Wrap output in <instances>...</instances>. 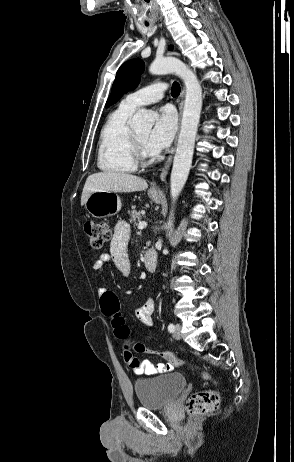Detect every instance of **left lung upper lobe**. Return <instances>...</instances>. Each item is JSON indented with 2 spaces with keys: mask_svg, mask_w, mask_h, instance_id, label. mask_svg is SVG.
Segmentation results:
<instances>
[{
  "mask_svg": "<svg viewBox=\"0 0 294 462\" xmlns=\"http://www.w3.org/2000/svg\"><path fill=\"white\" fill-rule=\"evenodd\" d=\"M144 67V62L141 59L135 58L125 62L119 68L105 107L114 104L122 95L138 86Z\"/></svg>",
  "mask_w": 294,
  "mask_h": 462,
  "instance_id": "1",
  "label": "left lung upper lobe"
}]
</instances>
